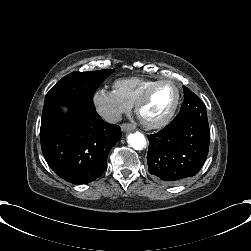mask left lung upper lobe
I'll use <instances>...</instances> for the list:
<instances>
[{
	"instance_id": "obj_1",
	"label": "left lung upper lobe",
	"mask_w": 251,
	"mask_h": 251,
	"mask_svg": "<svg viewBox=\"0 0 251 251\" xmlns=\"http://www.w3.org/2000/svg\"><path fill=\"white\" fill-rule=\"evenodd\" d=\"M183 89L185 96L184 102L181 106L179 114L174 118L173 121L189 117L207 118V111L201 99L196 94L191 92L187 87L183 86Z\"/></svg>"
}]
</instances>
